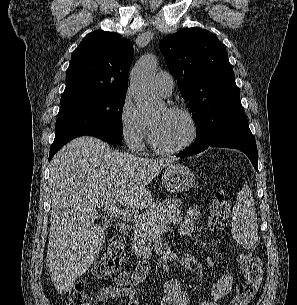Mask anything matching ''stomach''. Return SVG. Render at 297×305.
Returning <instances> with one entry per match:
<instances>
[{"instance_id": "obj_1", "label": "stomach", "mask_w": 297, "mask_h": 305, "mask_svg": "<svg viewBox=\"0 0 297 305\" xmlns=\"http://www.w3.org/2000/svg\"><path fill=\"white\" fill-rule=\"evenodd\" d=\"M162 184L170 192L188 191L196 185V177L193 172L181 164L167 167L162 175Z\"/></svg>"}]
</instances>
